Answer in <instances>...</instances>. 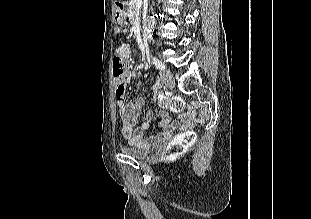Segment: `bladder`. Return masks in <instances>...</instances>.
Returning a JSON list of instances; mask_svg holds the SVG:
<instances>
[{"instance_id": "bladder-1", "label": "bladder", "mask_w": 311, "mask_h": 219, "mask_svg": "<svg viewBox=\"0 0 311 219\" xmlns=\"http://www.w3.org/2000/svg\"><path fill=\"white\" fill-rule=\"evenodd\" d=\"M120 150L126 156L135 159H145L152 153L153 148L138 144H132L130 146H121Z\"/></svg>"}]
</instances>
